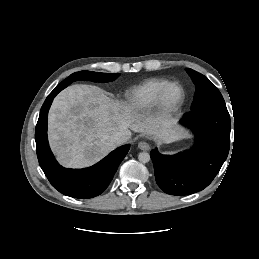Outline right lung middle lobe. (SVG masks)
Segmentation results:
<instances>
[{"label": "right lung middle lobe", "mask_w": 259, "mask_h": 259, "mask_svg": "<svg viewBox=\"0 0 259 259\" xmlns=\"http://www.w3.org/2000/svg\"><path fill=\"white\" fill-rule=\"evenodd\" d=\"M120 74L119 73H99L91 71H79L71 74L69 77L64 79L56 87L64 89L72 82L77 80H87L94 82H110L115 80Z\"/></svg>", "instance_id": "obj_1"}]
</instances>
